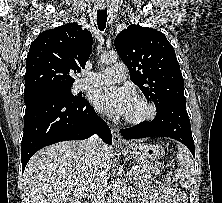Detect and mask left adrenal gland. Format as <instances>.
<instances>
[{
  "label": "left adrenal gland",
  "mask_w": 222,
  "mask_h": 203,
  "mask_svg": "<svg viewBox=\"0 0 222 203\" xmlns=\"http://www.w3.org/2000/svg\"><path fill=\"white\" fill-rule=\"evenodd\" d=\"M127 182L132 183L131 173L130 172H127Z\"/></svg>",
  "instance_id": "left-adrenal-gland-1"
}]
</instances>
